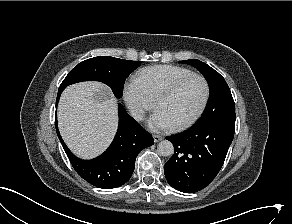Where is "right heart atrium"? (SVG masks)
Wrapping results in <instances>:
<instances>
[{"label": "right heart atrium", "instance_id": "d8ad5b80", "mask_svg": "<svg viewBox=\"0 0 292 224\" xmlns=\"http://www.w3.org/2000/svg\"><path fill=\"white\" fill-rule=\"evenodd\" d=\"M123 98L131 115L137 120L143 119L145 114L154 107V100L136 80L125 84Z\"/></svg>", "mask_w": 292, "mask_h": 224}]
</instances>
